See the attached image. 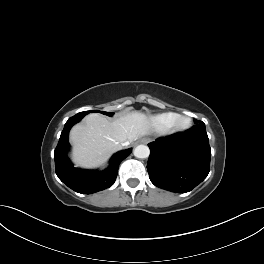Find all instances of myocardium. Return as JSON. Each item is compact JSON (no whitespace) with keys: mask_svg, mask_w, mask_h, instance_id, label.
<instances>
[{"mask_svg":"<svg viewBox=\"0 0 264 264\" xmlns=\"http://www.w3.org/2000/svg\"><path fill=\"white\" fill-rule=\"evenodd\" d=\"M191 126V119L185 115H176L173 123L170 126L172 132H182Z\"/></svg>","mask_w":264,"mask_h":264,"instance_id":"obj_1","label":"myocardium"}]
</instances>
